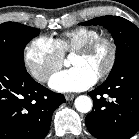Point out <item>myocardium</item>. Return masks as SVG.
<instances>
[{
    "label": "myocardium",
    "mask_w": 139,
    "mask_h": 139,
    "mask_svg": "<svg viewBox=\"0 0 139 139\" xmlns=\"http://www.w3.org/2000/svg\"><path fill=\"white\" fill-rule=\"evenodd\" d=\"M106 45L109 49V58L106 66L97 76L98 79H104L113 71L117 61V46L115 42L106 36H99L95 39L88 41L87 43L78 47L74 52L80 54H88L96 50L99 46Z\"/></svg>",
    "instance_id": "myocardium-1"
}]
</instances>
